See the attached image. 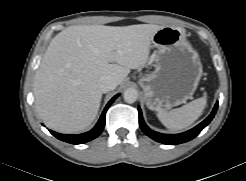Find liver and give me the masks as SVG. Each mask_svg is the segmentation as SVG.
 Listing matches in <instances>:
<instances>
[{"instance_id": "1", "label": "liver", "mask_w": 246, "mask_h": 181, "mask_svg": "<svg viewBox=\"0 0 246 181\" xmlns=\"http://www.w3.org/2000/svg\"><path fill=\"white\" fill-rule=\"evenodd\" d=\"M163 26H69L50 42L34 80L35 108L47 127L75 133L95 119L102 98L98 81L111 75L120 85L143 66L154 34Z\"/></svg>"}]
</instances>
